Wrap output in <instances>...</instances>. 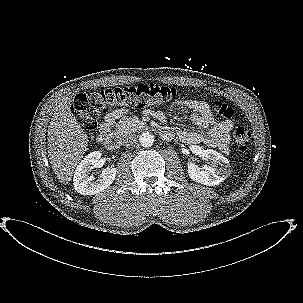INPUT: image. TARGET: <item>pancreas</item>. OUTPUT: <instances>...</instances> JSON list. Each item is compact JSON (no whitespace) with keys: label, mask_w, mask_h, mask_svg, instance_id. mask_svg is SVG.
<instances>
[{"label":"pancreas","mask_w":303,"mask_h":303,"mask_svg":"<svg viewBox=\"0 0 303 303\" xmlns=\"http://www.w3.org/2000/svg\"><path fill=\"white\" fill-rule=\"evenodd\" d=\"M145 127V124L137 118L125 117L117 124L116 133L118 135H124L129 132H135Z\"/></svg>","instance_id":"pancreas-1"}]
</instances>
